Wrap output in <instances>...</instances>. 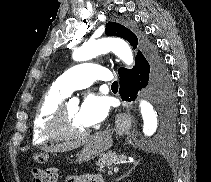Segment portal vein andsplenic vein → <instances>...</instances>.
Here are the masks:
<instances>
[{
	"mask_svg": "<svg viewBox=\"0 0 211 182\" xmlns=\"http://www.w3.org/2000/svg\"><path fill=\"white\" fill-rule=\"evenodd\" d=\"M119 169L117 167L114 168V172L118 173Z\"/></svg>",
	"mask_w": 211,
	"mask_h": 182,
	"instance_id": "1",
	"label": "portal vein and splenic vein"
}]
</instances>
